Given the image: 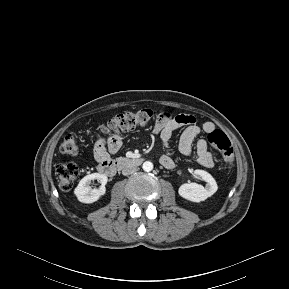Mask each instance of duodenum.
<instances>
[{
  "label": "duodenum",
  "instance_id": "410a0bca",
  "mask_svg": "<svg viewBox=\"0 0 289 289\" xmlns=\"http://www.w3.org/2000/svg\"><path fill=\"white\" fill-rule=\"evenodd\" d=\"M144 162L142 157H120L103 160L98 164V171L106 176H113L126 168L138 167Z\"/></svg>",
  "mask_w": 289,
  "mask_h": 289
}]
</instances>
